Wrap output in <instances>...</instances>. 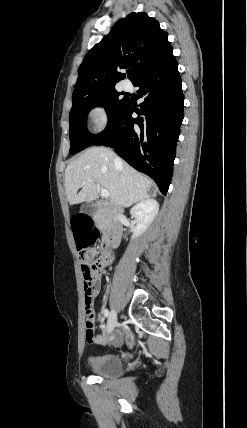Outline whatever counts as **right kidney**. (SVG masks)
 Segmentation results:
<instances>
[{"mask_svg":"<svg viewBox=\"0 0 247 428\" xmlns=\"http://www.w3.org/2000/svg\"><path fill=\"white\" fill-rule=\"evenodd\" d=\"M159 211V204L154 199H145L137 203L130 210V214L135 218L136 227L133 231L132 239L137 238L146 231Z\"/></svg>","mask_w":247,"mask_h":428,"instance_id":"right-kidney-1","label":"right kidney"}]
</instances>
